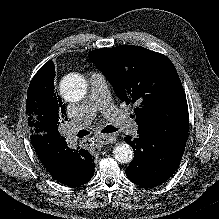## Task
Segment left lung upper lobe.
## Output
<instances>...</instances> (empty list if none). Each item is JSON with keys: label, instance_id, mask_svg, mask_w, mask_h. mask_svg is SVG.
Returning <instances> with one entry per match:
<instances>
[{"label": "left lung upper lobe", "instance_id": "left-lung-upper-lobe-1", "mask_svg": "<svg viewBox=\"0 0 219 219\" xmlns=\"http://www.w3.org/2000/svg\"><path fill=\"white\" fill-rule=\"evenodd\" d=\"M90 60L104 73L120 100L136 104L138 133L187 142L188 106L170 59L141 46L96 49Z\"/></svg>", "mask_w": 219, "mask_h": 219}]
</instances>
